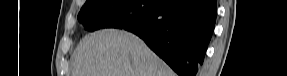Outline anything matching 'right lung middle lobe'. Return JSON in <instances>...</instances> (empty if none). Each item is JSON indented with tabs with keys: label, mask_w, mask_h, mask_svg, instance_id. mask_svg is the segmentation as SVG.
<instances>
[{
	"label": "right lung middle lobe",
	"mask_w": 287,
	"mask_h": 76,
	"mask_svg": "<svg viewBox=\"0 0 287 76\" xmlns=\"http://www.w3.org/2000/svg\"><path fill=\"white\" fill-rule=\"evenodd\" d=\"M158 0H90L78 14V21L93 32L103 28L123 29L149 18Z\"/></svg>",
	"instance_id": "dd1d6c3e"
}]
</instances>
